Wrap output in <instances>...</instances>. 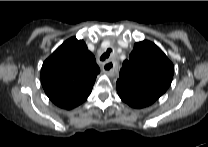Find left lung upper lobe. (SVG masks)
Returning a JSON list of instances; mask_svg holds the SVG:
<instances>
[{
    "mask_svg": "<svg viewBox=\"0 0 208 147\" xmlns=\"http://www.w3.org/2000/svg\"><path fill=\"white\" fill-rule=\"evenodd\" d=\"M174 74V66L150 41L134 45L129 60H125L116 85L150 95L158 99L168 89Z\"/></svg>",
    "mask_w": 208,
    "mask_h": 147,
    "instance_id": "5c2ea615",
    "label": "left lung upper lobe"
}]
</instances>
